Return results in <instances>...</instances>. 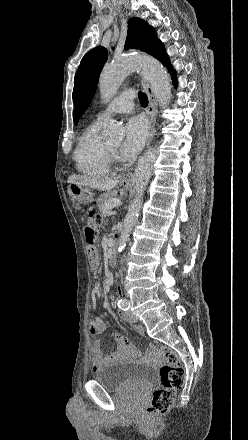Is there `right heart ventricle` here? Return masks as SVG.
<instances>
[{"mask_svg":"<svg viewBox=\"0 0 248 440\" xmlns=\"http://www.w3.org/2000/svg\"><path fill=\"white\" fill-rule=\"evenodd\" d=\"M99 128V122L87 126L79 137L74 152L76 167L85 175L101 176L111 170L108 147L99 136Z\"/></svg>","mask_w":248,"mask_h":440,"instance_id":"1","label":"right heart ventricle"}]
</instances>
